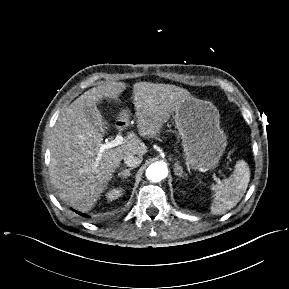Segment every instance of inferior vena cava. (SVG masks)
I'll return each instance as SVG.
<instances>
[{
	"label": "inferior vena cava",
	"mask_w": 289,
	"mask_h": 289,
	"mask_svg": "<svg viewBox=\"0 0 289 289\" xmlns=\"http://www.w3.org/2000/svg\"><path fill=\"white\" fill-rule=\"evenodd\" d=\"M124 163L129 166V167H137L139 166V164H141L142 160H143V156L142 154H135L132 152H128L125 156H124Z\"/></svg>",
	"instance_id": "obj_1"
}]
</instances>
